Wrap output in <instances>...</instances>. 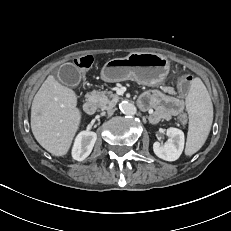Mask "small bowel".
Instances as JSON below:
<instances>
[{
	"label": "small bowel",
	"mask_w": 231,
	"mask_h": 231,
	"mask_svg": "<svg viewBox=\"0 0 231 231\" xmlns=\"http://www.w3.org/2000/svg\"><path fill=\"white\" fill-rule=\"evenodd\" d=\"M173 89L169 86L163 87L162 91L151 90L145 92L139 105L142 109H153L150 114V122L158 123L162 120H170L180 117L184 112V101L172 95Z\"/></svg>",
	"instance_id": "obj_1"
}]
</instances>
